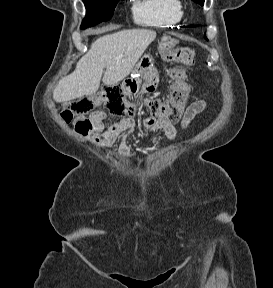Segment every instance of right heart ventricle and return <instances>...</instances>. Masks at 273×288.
Masks as SVG:
<instances>
[{
  "label": "right heart ventricle",
  "mask_w": 273,
  "mask_h": 288,
  "mask_svg": "<svg viewBox=\"0 0 273 288\" xmlns=\"http://www.w3.org/2000/svg\"><path fill=\"white\" fill-rule=\"evenodd\" d=\"M184 15L181 0H135L133 16L137 23L153 27H170Z\"/></svg>",
  "instance_id": "obj_1"
}]
</instances>
